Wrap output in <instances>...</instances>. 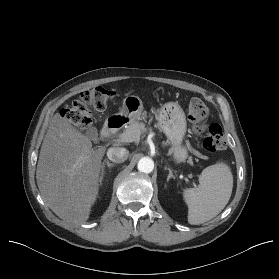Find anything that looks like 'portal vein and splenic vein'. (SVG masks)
<instances>
[{"label":"portal vein and splenic vein","mask_w":279,"mask_h":279,"mask_svg":"<svg viewBox=\"0 0 279 279\" xmlns=\"http://www.w3.org/2000/svg\"><path fill=\"white\" fill-rule=\"evenodd\" d=\"M119 141L121 142H133L135 141L134 140V136L130 133V132H125V133H122L120 136H119ZM193 153L198 156V157H201L200 153L196 150H193Z\"/></svg>","instance_id":"obj_1"}]
</instances>
